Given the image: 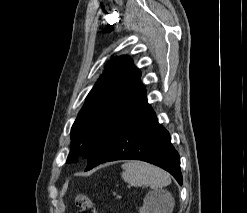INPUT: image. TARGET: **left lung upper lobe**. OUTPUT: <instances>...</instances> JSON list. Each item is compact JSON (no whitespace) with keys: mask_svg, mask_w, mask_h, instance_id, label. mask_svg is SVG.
Segmentation results:
<instances>
[{"mask_svg":"<svg viewBox=\"0 0 247 213\" xmlns=\"http://www.w3.org/2000/svg\"><path fill=\"white\" fill-rule=\"evenodd\" d=\"M140 71L127 56L115 57L87 96L71 129L68 163L87 159L98 139L144 90Z\"/></svg>","mask_w":247,"mask_h":213,"instance_id":"1","label":"left lung upper lobe"}]
</instances>
